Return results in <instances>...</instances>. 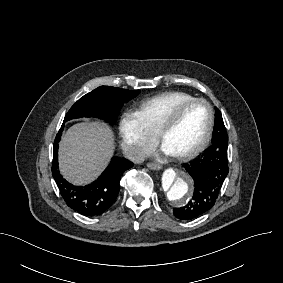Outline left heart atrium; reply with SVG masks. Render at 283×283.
Here are the masks:
<instances>
[{
  "label": "left heart atrium",
  "instance_id": "obj_1",
  "mask_svg": "<svg viewBox=\"0 0 283 283\" xmlns=\"http://www.w3.org/2000/svg\"><path fill=\"white\" fill-rule=\"evenodd\" d=\"M165 153H166L167 155H172L170 152H168V151H166V150H165Z\"/></svg>",
  "mask_w": 283,
  "mask_h": 283
}]
</instances>
